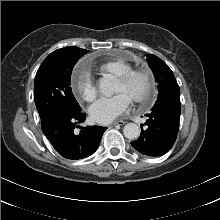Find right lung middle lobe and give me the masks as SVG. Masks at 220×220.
Wrapping results in <instances>:
<instances>
[{
	"label": "right lung middle lobe",
	"instance_id": "dd1d6c3e",
	"mask_svg": "<svg viewBox=\"0 0 220 220\" xmlns=\"http://www.w3.org/2000/svg\"><path fill=\"white\" fill-rule=\"evenodd\" d=\"M84 54L51 53L41 64L35 77L34 100L41 123L61 114L79 113L70 84L72 69Z\"/></svg>",
	"mask_w": 220,
	"mask_h": 220
}]
</instances>
